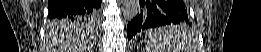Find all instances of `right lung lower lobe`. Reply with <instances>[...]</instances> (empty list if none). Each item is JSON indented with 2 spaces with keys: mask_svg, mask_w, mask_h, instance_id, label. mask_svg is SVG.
<instances>
[{
  "mask_svg": "<svg viewBox=\"0 0 261 52\" xmlns=\"http://www.w3.org/2000/svg\"><path fill=\"white\" fill-rule=\"evenodd\" d=\"M101 0H48L49 18L98 17Z\"/></svg>",
  "mask_w": 261,
  "mask_h": 52,
  "instance_id": "right-lung-lower-lobe-1",
  "label": "right lung lower lobe"
}]
</instances>
